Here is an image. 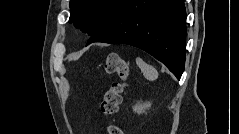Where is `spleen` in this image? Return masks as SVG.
Listing matches in <instances>:
<instances>
[{
  "mask_svg": "<svg viewBox=\"0 0 239 134\" xmlns=\"http://www.w3.org/2000/svg\"><path fill=\"white\" fill-rule=\"evenodd\" d=\"M136 64L139 66V68L141 69L144 77L149 80V81H153L156 80L158 78V72L157 70L147 64L146 62H144L141 58H136Z\"/></svg>",
  "mask_w": 239,
  "mask_h": 134,
  "instance_id": "spleen-1",
  "label": "spleen"
}]
</instances>
